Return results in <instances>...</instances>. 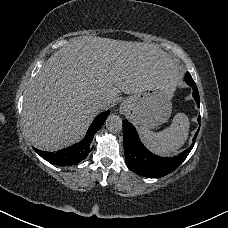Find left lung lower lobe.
I'll list each match as a JSON object with an SVG mask.
<instances>
[{"label":"left lung lower lobe","mask_w":228,"mask_h":228,"mask_svg":"<svg viewBox=\"0 0 228 228\" xmlns=\"http://www.w3.org/2000/svg\"><path fill=\"white\" fill-rule=\"evenodd\" d=\"M185 81L190 87H192L193 97L197 103V106L199 107L200 98L198 89L195 82L193 81V78L188 72L185 75ZM198 120L200 121V116ZM123 130L124 153L126 164L136 174L148 178L162 177L174 171L186 159V157L192 150L196 136L199 132L198 129L197 133L193 138L194 142L187 150L183 151L178 156L164 158L152 154L143 146V144L139 140L135 128L127 120H123Z\"/></svg>","instance_id":"left-lung-lower-lobe-1"}]
</instances>
